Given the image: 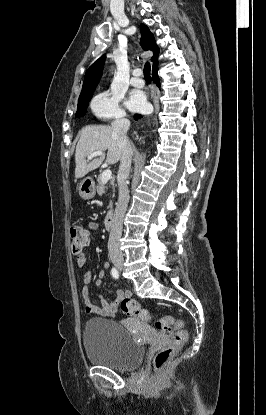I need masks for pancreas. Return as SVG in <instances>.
<instances>
[{
	"label": "pancreas",
	"instance_id": "pancreas-1",
	"mask_svg": "<svg viewBox=\"0 0 266 415\" xmlns=\"http://www.w3.org/2000/svg\"><path fill=\"white\" fill-rule=\"evenodd\" d=\"M98 185L96 187V191L98 195L102 196L105 193V190L108 189V184H104L101 180V175L97 178ZM110 184L114 186V179L110 180ZM114 196V195H113ZM108 208L112 209V201H110Z\"/></svg>",
	"mask_w": 266,
	"mask_h": 415
}]
</instances>
